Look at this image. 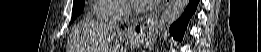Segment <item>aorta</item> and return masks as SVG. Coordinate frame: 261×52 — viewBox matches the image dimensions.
<instances>
[{"label": "aorta", "mask_w": 261, "mask_h": 52, "mask_svg": "<svg viewBox=\"0 0 261 52\" xmlns=\"http://www.w3.org/2000/svg\"><path fill=\"white\" fill-rule=\"evenodd\" d=\"M187 4L188 0H170L168 6L156 20L155 29L160 31L169 27L176 19L180 17Z\"/></svg>", "instance_id": "aorta-1"}]
</instances>
